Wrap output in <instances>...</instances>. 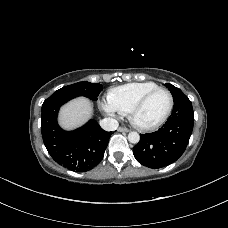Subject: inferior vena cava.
Masks as SVG:
<instances>
[{
  "label": "inferior vena cava",
  "mask_w": 228,
  "mask_h": 228,
  "mask_svg": "<svg viewBox=\"0 0 228 228\" xmlns=\"http://www.w3.org/2000/svg\"><path fill=\"white\" fill-rule=\"evenodd\" d=\"M100 126L105 131H114L118 128L119 123L113 118H104L100 121Z\"/></svg>",
  "instance_id": "obj_1"
}]
</instances>
